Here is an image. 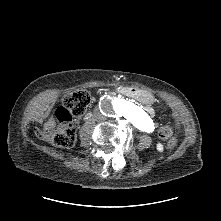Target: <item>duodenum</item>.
<instances>
[{"instance_id":"410a0bca","label":"duodenum","mask_w":221,"mask_h":221,"mask_svg":"<svg viewBox=\"0 0 221 221\" xmlns=\"http://www.w3.org/2000/svg\"><path fill=\"white\" fill-rule=\"evenodd\" d=\"M122 93H132V90L130 88H122L120 90ZM91 114H88L87 118H89Z\"/></svg>"}]
</instances>
